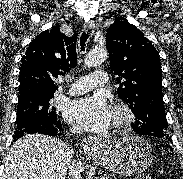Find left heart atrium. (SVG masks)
I'll use <instances>...</instances> for the list:
<instances>
[{"instance_id":"39dd6f15","label":"left heart atrium","mask_w":183,"mask_h":179,"mask_svg":"<svg viewBox=\"0 0 183 179\" xmlns=\"http://www.w3.org/2000/svg\"><path fill=\"white\" fill-rule=\"evenodd\" d=\"M67 117L86 131L102 132L111 124L112 110L103 96L93 95L73 101Z\"/></svg>"}]
</instances>
